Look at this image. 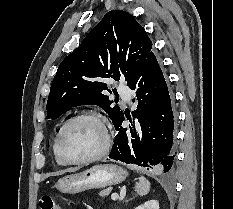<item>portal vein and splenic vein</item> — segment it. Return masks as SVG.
Returning a JSON list of instances; mask_svg holds the SVG:
<instances>
[{
  "mask_svg": "<svg viewBox=\"0 0 233 209\" xmlns=\"http://www.w3.org/2000/svg\"><path fill=\"white\" fill-rule=\"evenodd\" d=\"M119 198V196H118V194H116V193H113L112 195H111V199L112 200H117Z\"/></svg>",
  "mask_w": 233,
  "mask_h": 209,
  "instance_id": "1",
  "label": "portal vein and splenic vein"
}]
</instances>
